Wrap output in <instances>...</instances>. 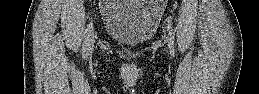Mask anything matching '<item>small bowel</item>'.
Listing matches in <instances>:
<instances>
[{
    "mask_svg": "<svg viewBox=\"0 0 259 94\" xmlns=\"http://www.w3.org/2000/svg\"><path fill=\"white\" fill-rule=\"evenodd\" d=\"M159 4V3H158ZM159 6L161 7V10H162V5L161 4H159Z\"/></svg>",
    "mask_w": 259,
    "mask_h": 94,
    "instance_id": "1",
    "label": "small bowel"
}]
</instances>
